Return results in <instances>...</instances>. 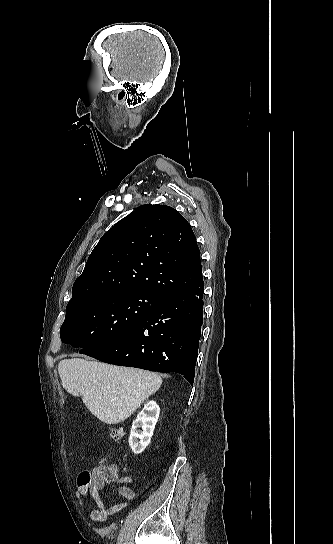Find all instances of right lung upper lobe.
Here are the masks:
<instances>
[{"label": "right lung upper lobe", "mask_w": 333, "mask_h": 544, "mask_svg": "<svg viewBox=\"0 0 333 544\" xmlns=\"http://www.w3.org/2000/svg\"><path fill=\"white\" fill-rule=\"evenodd\" d=\"M201 280L200 251L189 223L172 207L142 205L101 237L69 303L105 293L165 298Z\"/></svg>", "instance_id": "1"}]
</instances>
